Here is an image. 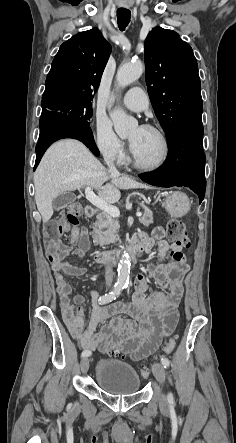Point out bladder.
I'll return each mask as SVG.
<instances>
[{
  "label": "bladder",
  "mask_w": 236,
  "mask_h": 443,
  "mask_svg": "<svg viewBox=\"0 0 236 443\" xmlns=\"http://www.w3.org/2000/svg\"><path fill=\"white\" fill-rule=\"evenodd\" d=\"M95 380L100 389L112 395L134 394L141 385V379L131 365L114 359L98 363Z\"/></svg>",
  "instance_id": "1"
}]
</instances>
